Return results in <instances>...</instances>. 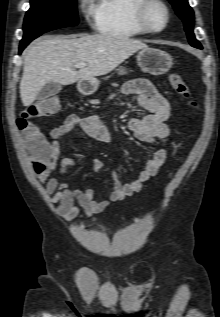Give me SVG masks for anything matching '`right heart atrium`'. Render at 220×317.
<instances>
[{"instance_id":"d8ad5b80","label":"right heart atrium","mask_w":220,"mask_h":317,"mask_svg":"<svg viewBox=\"0 0 220 317\" xmlns=\"http://www.w3.org/2000/svg\"><path fill=\"white\" fill-rule=\"evenodd\" d=\"M78 9L88 21H91L94 15L91 0H78Z\"/></svg>"}]
</instances>
